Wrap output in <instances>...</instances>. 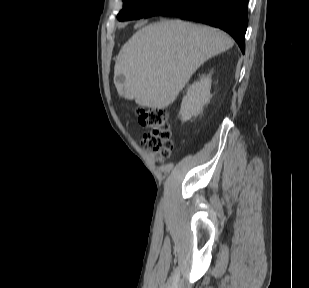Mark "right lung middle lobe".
I'll return each instance as SVG.
<instances>
[{
    "mask_svg": "<svg viewBox=\"0 0 309 288\" xmlns=\"http://www.w3.org/2000/svg\"><path fill=\"white\" fill-rule=\"evenodd\" d=\"M164 1L166 0H123L124 7L117 19L125 21L142 18Z\"/></svg>",
    "mask_w": 309,
    "mask_h": 288,
    "instance_id": "dd1d6c3e",
    "label": "right lung middle lobe"
}]
</instances>
